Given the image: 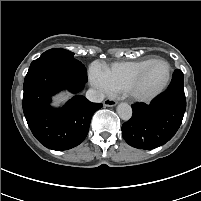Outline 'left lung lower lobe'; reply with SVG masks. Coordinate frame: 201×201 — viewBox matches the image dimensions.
I'll list each match as a JSON object with an SVG mask.
<instances>
[{"instance_id": "0a47b994", "label": "left lung lower lobe", "mask_w": 201, "mask_h": 201, "mask_svg": "<svg viewBox=\"0 0 201 201\" xmlns=\"http://www.w3.org/2000/svg\"><path fill=\"white\" fill-rule=\"evenodd\" d=\"M186 109L183 72L176 69L168 89L149 105L137 103L122 125V136L132 147L153 149L168 142L179 129Z\"/></svg>"}]
</instances>
